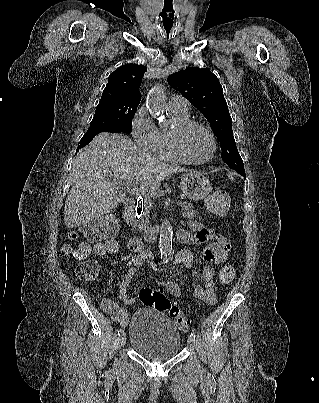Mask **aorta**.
Listing matches in <instances>:
<instances>
[{
	"label": "aorta",
	"mask_w": 319,
	"mask_h": 403,
	"mask_svg": "<svg viewBox=\"0 0 319 403\" xmlns=\"http://www.w3.org/2000/svg\"><path fill=\"white\" fill-rule=\"evenodd\" d=\"M146 107L150 114L158 119H162L165 107V94L161 85L154 86L148 93L146 98ZM173 229L170 222L165 221L160 227L159 249L161 256L164 258L173 255L172 248Z\"/></svg>",
	"instance_id": "obj_1"
}]
</instances>
